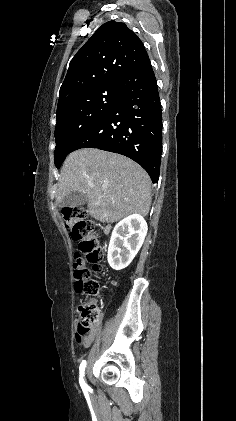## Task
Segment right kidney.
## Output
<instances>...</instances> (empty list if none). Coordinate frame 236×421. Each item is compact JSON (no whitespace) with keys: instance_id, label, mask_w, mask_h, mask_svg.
Wrapping results in <instances>:
<instances>
[{"instance_id":"1","label":"right kidney","mask_w":236,"mask_h":421,"mask_svg":"<svg viewBox=\"0 0 236 421\" xmlns=\"http://www.w3.org/2000/svg\"><path fill=\"white\" fill-rule=\"evenodd\" d=\"M148 227L141 215H129L120 221L112 233L107 261L115 271L130 265L144 243Z\"/></svg>"}]
</instances>
